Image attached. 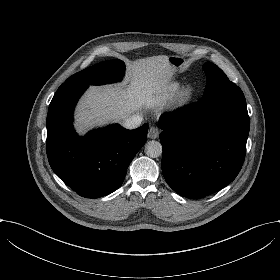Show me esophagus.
<instances>
[{
    "instance_id": "esophagus-1",
    "label": "esophagus",
    "mask_w": 280,
    "mask_h": 280,
    "mask_svg": "<svg viewBox=\"0 0 280 280\" xmlns=\"http://www.w3.org/2000/svg\"><path fill=\"white\" fill-rule=\"evenodd\" d=\"M159 136V129L157 127H151L148 132V137L150 139H156Z\"/></svg>"
}]
</instances>
